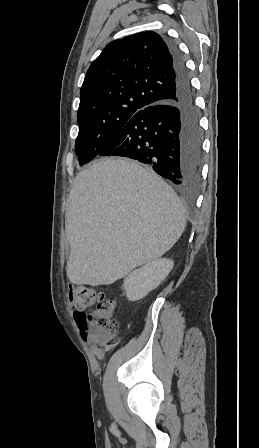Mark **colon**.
<instances>
[{"label": "colon", "mask_w": 259, "mask_h": 448, "mask_svg": "<svg viewBox=\"0 0 259 448\" xmlns=\"http://www.w3.org/2000/svg\"><path fill=\"white\" fill-rule=\"evenodd\" d=\"M72 297L78 308L75 320L83 338L102 350L113 348L118 332L115 303L103 292L87 285L75 286Z\"/></svg>", "instance_id": "5ec220e1"}]
</instances>
